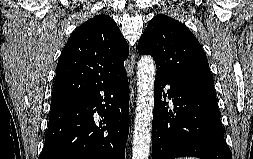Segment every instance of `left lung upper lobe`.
<instances>
[{"mask_svg": "<svg viewBox=\"0 0 253 159\" xmlns=\"http://www.w3.org/2000/svg\"><path fill=\"white\" fill-rule=\"evenodd\" d=\"M138 52L151 55L156 75L213 85L207 57L195 36L179 21L159 14L139 39Z\"/></svg>", "mask_w": 253, "mask_h": 159, "instance_id": "1", "label": "left lung upper lobe"}]
</instances>
